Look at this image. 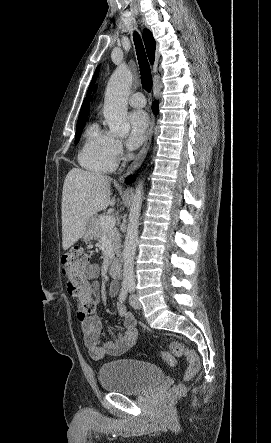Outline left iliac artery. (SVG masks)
I'll return each instance as SVG.
<instances>
[{
    "instance_id": "left-iliac-artery-1",
    "label": "left iliac artery",
    "mask_w": 271,
    "mask_h": 443,
    "mask_svg": "<svg viewBox=\"0 0 271 443\" xmlns=\"http://www.w3.org/2000/svg\"><path fill=\"white\" fill-rule=\"evenodd\" d=\"M129 290H130V291L134 290V286H133V285H130V286H129Z\"/></svg>"
}]
</instances>
